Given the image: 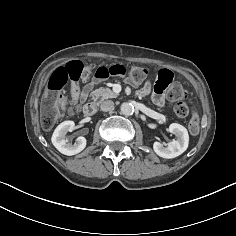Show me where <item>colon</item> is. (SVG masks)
Returning a JSON list of instances; mask_svg holds the SVG:
<instances>
[{
    "instance_id": "1",
    "label": "colon",
    "mask_w": 236,
    "mask_h": 236,
    "mask_svg": "<svg viewBox=\"0 0 236 236\" xmlns=\"http://www.w3.org/2000/svg\"><path fill=\"white\" fill-rule=\"evenodd\" d=\"M112 76H120L133 83H141L149 76L148 71L136 65L115 64L112 66H100L94 68L91 65L85 66L80 61H72L64 67L57 68L49 78L47 91L41 106V125L44 129H51L59 120L65 108V100L61 91L68 83L77 87L80 80H104ZM157 93H166L167 98L175 102L174 111L177 116L184 118L191 114L189 121V132L197 135L200 130L199 116L196 112H191L186 103L187 93L179 83H173V73L163 69L159 72L154 85ZM74 107L77 100L72 99Z\"/></svg>"
}]
</instances>
